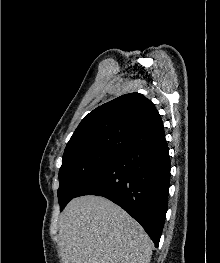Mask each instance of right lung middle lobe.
Wrapping results in <instances>:
<instances>
[{
  "mask_svg": "<svg viewBox=\"0 0 220 263\" xmlns=\"http://www.w3.org/2000/svg\"><path fill=\"white\" fill-rule=\"evenodd\" d=\"M123 150L91 148L63 154L59 170L58 200L60 210L98 173L117 160Z\"/></svg>",
  "mask_w": 220,
  "mask_h": 263,
  "instance_id": "1",
  "label": "right lung middle lobe"
}]
</instances>
